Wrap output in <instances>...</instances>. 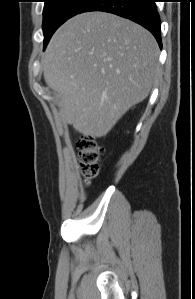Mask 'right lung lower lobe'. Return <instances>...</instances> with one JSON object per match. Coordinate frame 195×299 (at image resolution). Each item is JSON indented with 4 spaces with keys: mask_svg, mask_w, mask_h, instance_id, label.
Listing matches in <instances>:
<instances>
[{
    "mask_svg": "<svg viewBox=\"0 0 195 299\" xmlns=\"http://www.w3.org/2000/svg\"><path fill=\"white\" fill-rule=\"evenodd\" d=\"M104 11L134 21L149 30L160 47L161 22L154 0H89L79 13Z\"/></svg>",
    "mask_w": 195,
    "mask_h": 299,
    "instance_id": "1",
    "label": "right lung lower lobe"
}]
</instances>
